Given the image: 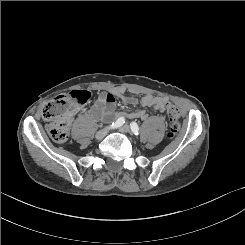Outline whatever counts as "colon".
<instances>
[{
  "mask_svg": "<svg viewBox=\"0 0 245 245\" xmlns=\"http://www.w3.org/2000/svg\"><path fill=\"white\" fill-rule=\"evenodd\" d=\"M91 98L87 90H74L47 101L41 111L47 122V132L57 143H64L69 137V127L75 110L86 104ZM166 113L170 121L168 138L176 136L180 130V113L176 105L168 103Z\"/></svg>",
  "mask_w": 245,
  "mask_h": 245,
  "instance_id": "obj_1",
  "label": "colon"
}]
</instances>
